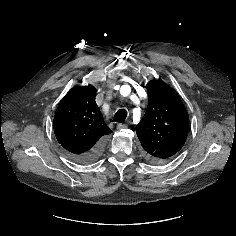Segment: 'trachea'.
<instances>
[{
    "label": "trachea",
    "instance_id": "trachea-1",
    "mask_svg": "<svg viewBox=\"0 0 236 236\" xmlns=\"http://www.w3.org/2000/svg\"><path fill=\"white\" fill-rule=\"evenodd\" d=\"M127 117V111L125 109H120L116 112L114 116V122L122 123Z\"/></svg>",
    "mask_w": 236,
    "mask_h": 236
}]
</instances>
